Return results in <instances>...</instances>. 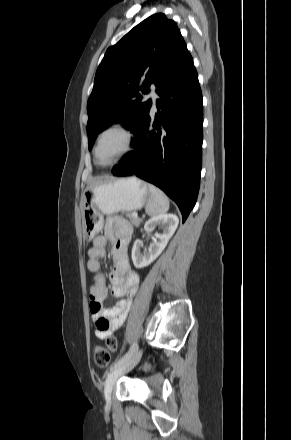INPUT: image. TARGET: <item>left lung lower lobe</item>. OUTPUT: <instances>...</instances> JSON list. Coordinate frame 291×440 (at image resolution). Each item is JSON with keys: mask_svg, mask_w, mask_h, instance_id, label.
<instances>
[{"mask_svg": "<svg viewBox=\"0 0 291 440\" xmlns=\"http://www.w3.org/2000/svg\"><path fill=\"white\" fill-rule=\"evenodd\" d=\"M158 114L149 111L131 145L135 149L112 169L115 176L136 175L161 188L176 202L183 222L193 209L202 165L203 105L193 59L187 52L156 89Z\"/></svg>", "mask_w": 291, "mask_h": 440, "instance_id": "obj_1", "label": "left lung lower lobe"}]
</instances>
